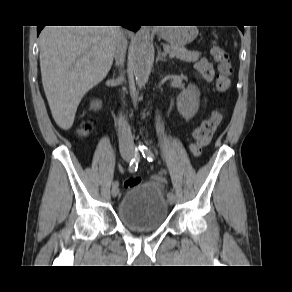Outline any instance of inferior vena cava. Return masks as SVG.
I'll list each match as a JSON object with an SVG mask.
<instances>
[{
    "instance_id": "1",
    "label": "inferior vena cava",
    "mask_w": 292,
    "mask_h": 292,
    "mask_svg": "<svg viewBox=\"0 0 292 292\" xmlns=\"http://www.w3.org/2000/svg\"><path fill=\"white\" fill-rule=\"evenodd\" d=\"M127 49V39L125 38L122 31H120L115 50V60L116 65L123 67L125 61ZM124 76L120 75L118 77V82H122ZM119 147L121 151H133L134 150V141L131 133V129L128 126L126 121H121L120 123V133H119Z\"/></svg>"
}]
</instances>
